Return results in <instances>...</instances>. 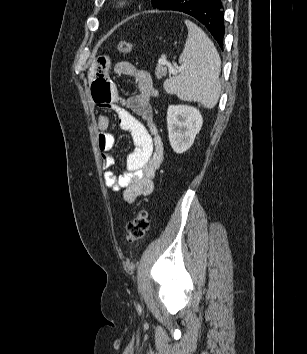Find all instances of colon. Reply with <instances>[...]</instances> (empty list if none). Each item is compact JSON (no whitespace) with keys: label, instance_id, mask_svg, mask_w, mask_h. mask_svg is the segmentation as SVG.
I'll return each mask as SVG.
<instances>
[{"label":"colon","instance_id":"colon-1","mask_svg":"<svg viewBox=\"0 0 307 354\" xmlns=\"http://www.w3.org/2000/svg\"><path fill=\"white\" fill-rule=\"evenodd\" d=\"M133 45L127 40L118 42V51L121 54L127 55L132 52ZM149 228L148 213L145 210H140L133 220L128 222L126 226V240L129 243L141 241Z\"/></svg>","mask_w":307,"mask_h":354}]
</instances>
